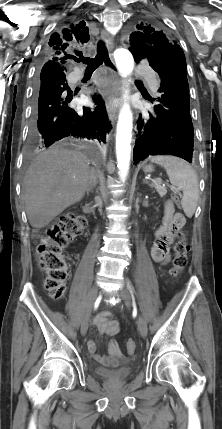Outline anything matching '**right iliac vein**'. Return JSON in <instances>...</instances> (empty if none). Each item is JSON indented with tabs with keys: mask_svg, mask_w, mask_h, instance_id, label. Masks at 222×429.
<instances>
[{
	"mask_svg": "<svg viewBox=\"0 0 222 429\" xmlns=\"http://www.w3.org/2000/svg\"><path fill=\"white\" fill-rule=\"evenodd\" d=\"M97 296H98V287L95 285L91 288L89 295H88V298H87L86 311H85L83 321L81 323V334L82 335H85L87 330H88L91 310H92L93 305L97 299Z\"/></svg>",
	"mask_w": 222,
	"mask_h": 429,
	"instance_id": "1",
	"label": "right iliac vein"
}]
</instances>
